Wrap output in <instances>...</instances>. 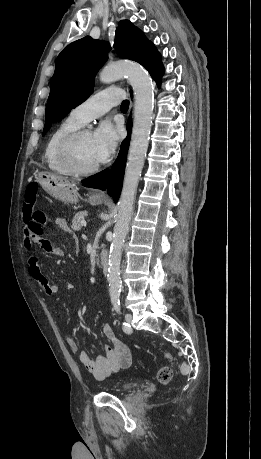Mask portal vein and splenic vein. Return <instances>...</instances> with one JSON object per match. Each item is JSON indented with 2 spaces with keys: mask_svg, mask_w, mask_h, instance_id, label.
Listing matches in <instances>:
<instances>
[{
  "mask_svg": "<svg viewBox=\"0 0 261 459\" xmlns=\"http://www.w3.org/2000/svg\"><path fill=\"white\" fill-rule=\"evenodd\" d=\"M81 224H82L83 226H86V222H85V221H82Z\"/></svg>",
  "mask_w": 261,
  "mask_h": 459,
  "instance_id": "1",
  "label": "portal vein and splenic vein"
}]
</instances>
